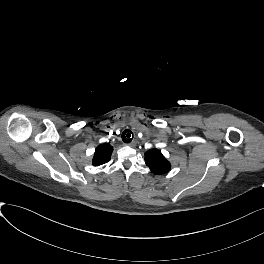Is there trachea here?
I'll list each match as a JSON object with an SVG mask.
<instances>
[{"mask_svg":"<svg viewBox=\"0 0 264 264\" xmlns=\"http://www.w3.org/2000/svg\"><path fill=\"white\" fill-rule=\"evenodd\" d=\"M132 138H133V132L126 129L123 131L122 133V140L123 142L125 143H130L132 141Z\"/></svg>","mask_w":264,"mask_h":264,"instance_id":"1","label":"trachea"}]
</instances>
